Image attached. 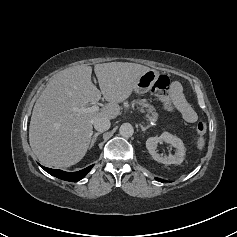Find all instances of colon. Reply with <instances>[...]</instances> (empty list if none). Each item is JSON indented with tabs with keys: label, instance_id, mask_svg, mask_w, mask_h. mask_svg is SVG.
<instances>
[{
	"label": "colon",
	"instance_id": "5ec220e1",
	"mask_svg": "<svg viewBox=\"0 0 237 237\" xmlns=\"http://www.w3.org/2000/svg\"><path fill=\"white\" fill-rule=\"evenodd\" d=\"M152 92L159 97V99L164 103L165 108L173 112L176 106L172 100L170 81L167 76L161 75L157 78L156 82L152 87ZM198 133L197 147L203 149L205 146V135L207 132V125L204 121H199L196 126Z\"/></svg>",
	"mask_w": 237,
	"mask_h": 237
}]
</instances>
